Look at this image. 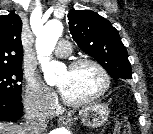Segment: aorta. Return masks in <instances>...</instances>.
Here are the masks:
<instances>
[{"label": "aorta", "mask_w": 153, "mask_h": 134, "mask_svg": "<svg viewBox=\"0 0 153 134\" xmlns=\"http://www.w3.org/2000/svg\"><path fill=\"white\" fill-rule=\"evenodd\" d=\"M63 31L62 23L58 20L47 22L36 34V52L38 60L42 65L44 79L47 84H54L57 81V73L60 70V64L50 61L58 39Z\"/></svg>", "instance_id": "obj_1"}]
</instances>
